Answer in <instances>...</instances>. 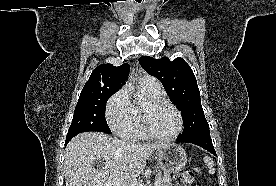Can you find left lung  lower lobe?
<instances>
[{
    "label": "left lung lower lobe",
    "mask_w": 276,
    "mask_h": 186,
    "mask_svg": "<svg viewBox=\"0 0 276 186\" xmlns=\"http://www.w3.org/2000/svg\"><path fill=\"white\" fill-rule=\"evenodd\" d=\"M177 142L192 143L216 155L209 131H201L185 137H178Z\"/></svg>",
    "instance_id": "obj_1"
}]
</instances>
